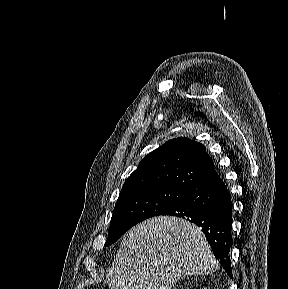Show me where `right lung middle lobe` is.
Listing matches in <instances>:
<instances>
[{
	"instance_id": "1",
	"label": "right lung middle lobe",
	"mask_w": 288,
	"mask_h": 289,
	"mask_svg": "<svg viewBox=\"0 0 288 289\" xmlns=\"http://www.w3.org/2000/svg\"><path fill=\"white\" fill-rule=\"evenodd\" d=\"M185 191L173 187H155L121 192L105 246L117 241L133 225L164 213L184 196Z\"/></svg>"
}]
</instances>
